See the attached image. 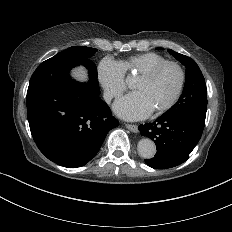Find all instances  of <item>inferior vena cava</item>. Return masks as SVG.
I'll use <instances>...</instances> for the list:
<instances>
[{"instance_id": "obj_1", "label": "inferior vena cava", "mask_w": 232, "mask_h": 232, "mask_svg": "<svg viewBox=\"0 0 232 232\" xmlns=\"http://www.w3.org/2000/svg\"><path fill=\"white\" fill-rule=\"evenodd\" d=\"M103 98L106 101V103L110 104L111 99H112V95H111V93L109 91H106L103 94Z\"/></svg>"}]
</instances>
